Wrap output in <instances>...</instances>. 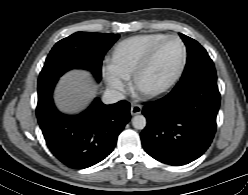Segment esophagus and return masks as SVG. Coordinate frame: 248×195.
Masks as SVG:
<instances>
[{"label":"esophagus","mask_w":248,"mask_h":195,"mask_svg":"<svg viewBox=\"0 0 248 195\" xmlns=\"http://www.w3.org/2000/svg\"><path fill=\"white\" fill-rule=\"evenodd\" d=\"M142 111V106L140 104L132 103L130 108L131 115L140 114Z\"/></svg>","instance_id":"34e87169"}]
</instances>
